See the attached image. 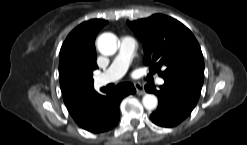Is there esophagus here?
<instances>
[{
    "label": "esophagus",
    "mask_w": 247,
    "mask_h": 145,
    "mask_svg": "<svg viewBox=\"0 0 247 145\" xmlns=\"http://www.w3.org/2000/svg\"><path fill=\"white\" fill-rule=\"evenodd\" d=\"M134 87H135L136 93H137L138 95H143V94H145V91H144V88H143L142 84H140V83H134Z\"/></svg>",
    "instance_id": "34e87169"
}]
</instances>
